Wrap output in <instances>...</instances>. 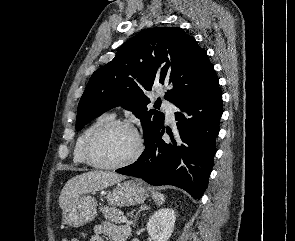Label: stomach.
I'll return each mask as SVG.
<instances>
[{
    "label": "stomach",
    "mask_w": 295,
    "mask_h": 241,
    "mask_svg": "<svg viewBox=\"0 0 295 241\" xmlns=\"http://www.w3.org/2000/svg\"><path fill=\"white\" fill-rule=\"evenodd\" d=\"M148 196L147 187L140 180L118 182L109 192L107 200L111 206H133L141 204ZM97 215V202L92 196H81L63 210V222L70 227H81Z\"/></svg>",
    "instance_id": "0dacf381"
}]
</instances>
